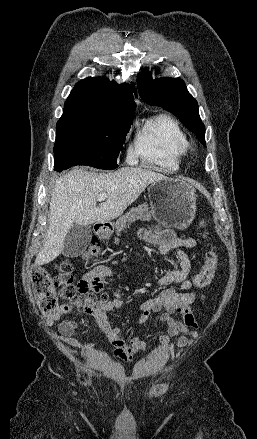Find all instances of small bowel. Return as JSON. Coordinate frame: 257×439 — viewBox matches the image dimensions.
<instances>
[{"instance_id": "c3829d8e", "label": "small bowel", "mask_w": 257, "mask_h": 439, "mask_svg": "<svg viewBox=\"0 0 257 439\" xmlns=\"http://www.w3.org/2000/svg\"><path fill=\"white\" fill-rule=\"evenodd\" d=\"M138 235L147 244L156 246L161 255L167 256L172 253L178 261V265L173 266L159 280V284L166 288L158 296L146 300L138 307L139 315L136 318L138 325L147 321L153 313L161 312L159 321L167 327V333L159 336L154 349V359L159 361L169 348L170 337L178 336L176 341L178 351L190 346L196 337L197 324L190 312V305L196 298L195 289L198 287L194 282L193 274L190 275L192 261L184 249L194 248L197 242L191 237H179L172 229H162L157 226L142 228ZM110 276L109 267L98 265L82 277L79 286L93 292H102L103 282ZM174 284L180 285V291L170 287ZM124 309L123 298L121 294L116 293L112 300L89 314L93 317L99 331L105 335L113 347L114 355L121 361L129 363L145 351L146 345L137 335L129 340L124 339L121 328L111 323L109 313ZM71 311L72 306L69 304L60 305L53 315L47 317V324L53 325L61 316ZM129 312L132 313L131 310ZM175 313L180 314L183 321L174 319ZM77 326L78 323L74 320H64L59 324L58 331L67 345L85 350L84 344L73 337Z\"/></svg>"}]
</instances>
